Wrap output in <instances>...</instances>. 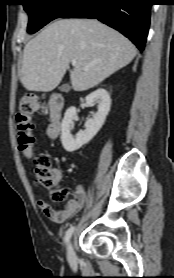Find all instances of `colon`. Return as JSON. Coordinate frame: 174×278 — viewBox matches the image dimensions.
<instances>
[{"instance_id":"1","label":"colon","mask_w":174,"mask_h":278,"mask_svg":"<svg viewBox=\"0 0 174 278\" xmlns=\"http://www.w3.org/2000/svg\"><path fill=\"white\" fill-rule=\"evenodd\" d=\"M41 108L34 96H25L20 100L19 108L15 115L18 144L20 151L27 157L33 156V137L31 117ZM36 182L41 187L51 191L53 200L61 201L66 196V191L56 185V170L52 166V158L48 153H41L35 157L33 170Z\"/></svg>"}]
</instances>
